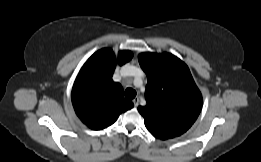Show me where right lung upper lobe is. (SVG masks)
<instances>
[{
	"label": "right lung upper lobe",
	"instance_id": "right-lung-upper-lobe-1",
	"mask_svg": "<svg viewBox=\"0 0 261 162\" xmlns=\"http://www.w3.org/2000/svg\"><path fill=\"white\" fill-rule=\"evenodd\" d=\"M133 57L131 51H120L116 59L111 49L94 53L81 68L72 88V104L80 120L93 130L113 124L118 116L134 104L123 97L121 84L112 80L117 64Z\"/></svg>",
	"mask_w": 261,
	"mask_h": 162
}]
</instances>
